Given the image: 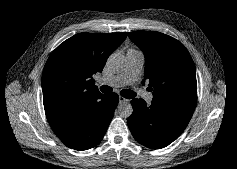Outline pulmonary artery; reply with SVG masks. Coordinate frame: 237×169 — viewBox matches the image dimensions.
Segmentation results:
<instances>
[{
	"instance_id": "pulmonary-artery-1",
	"label": "pulmonary artery",
	"mask_w": 237,
	"mask_h": 169,
	"mask_svg": "<svg viewBox=\"0 0 237 169\" xmlns=\"http://www.w3.org/2000/svg\"><path fill=\"white\" fill-rule=\"evenodd\" d=\"M142 59H143V56L140 52L129 51L127 54V60H128V63L130 65L131 69H137L138 66L141 64ZM119 81L120 80L118 78H111L108 80V83L111 85H117V84H119ZM147 100L151 101L152 96L151 95L148 96Z\"/></svg>"
}]
</instances>
